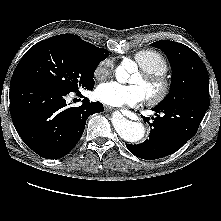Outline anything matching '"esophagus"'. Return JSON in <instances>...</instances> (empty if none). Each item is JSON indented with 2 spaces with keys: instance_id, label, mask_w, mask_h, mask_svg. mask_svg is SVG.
Listing matches in <instances>:
<instances>
[{
  "instance_id": "34e87169",
  "label": "esophagus",
  "mask_w": 221,
  "mask_h": 221,
  "mask_svg": "<svg viewBox=\"0 0 221 221\" xmlns=\"http://www.w3.org/2000/svg\"><path fill=\"white\" fill-rule=\"evenodd\" d=\"M113 108L111 106H105V111L109 112L111 111Z\"/></svg>"
}]
</instances>
